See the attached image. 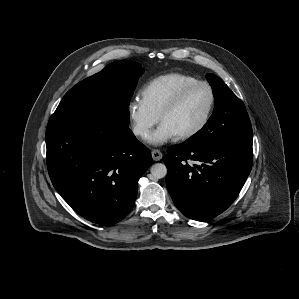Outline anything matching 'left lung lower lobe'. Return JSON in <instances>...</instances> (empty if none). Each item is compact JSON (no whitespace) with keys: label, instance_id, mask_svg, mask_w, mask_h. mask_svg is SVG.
I'll return each mask as SVG.
<instances>
[{"label":"left lung lower lobe","instance_id":"left-lung-lower-lobe-1","mask_svg":"<svg viewBox=\"0 0 299 299\" xmlns=\"http://www.w3.org/2000/svg\"><path fill=\"white\" fill-rule=\"evenodd\" d=\"M163 158L166 184L177 209L198 221L225 211L236 199L252 168V147H204L189 142L171 146Z\"/></svg>","mask_w":299,"mask_h":299}]
</instances>
